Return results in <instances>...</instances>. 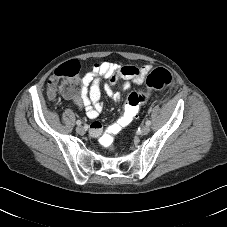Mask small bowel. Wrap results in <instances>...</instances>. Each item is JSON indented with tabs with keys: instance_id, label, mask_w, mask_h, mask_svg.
Here are the masks:
<instances>
[{
	"instance_id": "c3829d8e",
	"label": "small bowel",
	"mask_w": 227,
	"mask_h": 227,
	"mask_svg": "<svg viewBox=\"0 0 227 227\" xmlns=\"http://www.w3.org/2000/svg\"><path fill=\"white\" fill-rule=\"evenodd\" d=\"M131 69H138L140 75L135 77L126 75L125 71ZM150 71V65L136 67L128 63L98 62L83 76L80 95L70 96L64 91V96L84 109L87 117L93 120L89 125V133L93 137H97L104 131L102 124L96 120L103 108L100 102L101 89L106 92L112 101H117L118 95L112 90L116 83L121 82L125 89L129 88L131 84L140 85ZM57 75L58 72L53 74L51 79H56ZM103 78H106L107 81L102 82Z\"/></svg>"
}]
</instances>
